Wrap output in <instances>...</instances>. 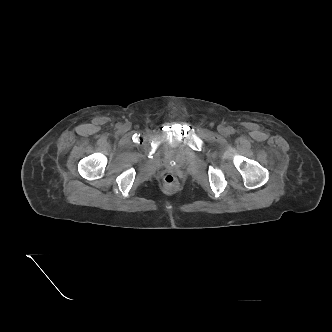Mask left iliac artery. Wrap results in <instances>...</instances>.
Wrapping results in <instances>:
<instances>
[{"label":"left iliac artery","mask_w":332,"mask_h":332,"mask_svg":"<svg viewBox=\"0 0 332 332\" xmlns=\"http://www.w3.org/2000/svg\"><path fill=\"white\" fill-rule=\"evenodd\" d=\"M228 132H229L230 134H233V133H234V129L231 127V128L228 129Z\"/></svg>","instance_id":"left-iliac-artery-1"}]
</instances>
